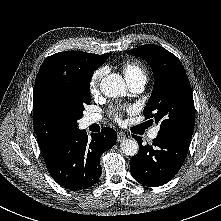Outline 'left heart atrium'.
Returning <instances> with one entry per match:
<instances>
[{"mask_svg":"<svg viewBox=\"0 0 221 221\" xmlns=\"http://www.w3.org/2000/svg\"><path fill=\"white\" fill-rule=\"evenodd\" d=\"M127 112H131L132 111V107H126V108H120V107H114L110 110V115L112 116V118L117 121L120 122L122 119V113L124 111Z\"/></svg>","mask_w":221,"mask_h":221,"instance_id":"39dd6f15","label":"left heart atrium"}]
</instances>
